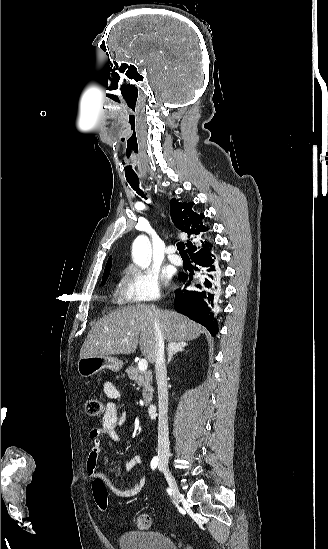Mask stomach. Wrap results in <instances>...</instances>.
I'll list each match as a JSON object with an SVG mask.
<instances>
[{"mask_svg":"<svg viewBox=\"0 0 328 549\" xmlns=\"http://www.w3.org/2000/svg\"><path fill=\"white\" fill-rule=\"evenodd\" d=\"M124 363L111 355H100V357H80L77 363V371L81 377H92L102 369H109L118 373Z\"/></svg>","mask_w":328,"mask_h":549,"instance_id":"0dacf381","label":"stomach"}]
</instances>
